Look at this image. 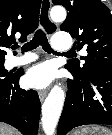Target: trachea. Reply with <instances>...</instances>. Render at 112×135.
<instances>
[{"mask_svg": "<svg viewBox=\"0 0 112 135\" xmlns=\"http://www.w3.org/2000/svg\"><path fill=\"white\" fill-rule=\"evenodd\" d=\"M46 1H43V7L42 9L46 8ZM39 45L42 46V48L44 49L45 52L48 53H56L54 52V50L51 48L48 39L46 37V34L43 32V30L39 29L35 32L34 37L32 38V40L30 42H27L26 44H24L21 47L22 52H27V51H31L36 49ZM19 48V46L17 44H15L14 46H12V49L15 50ZM66 54H70V53H66Z\"/></svg>", "mask_w": 112, "mask_h": 135, "instance_id": "obj_1", "label": "trachea"}]
</instances>
